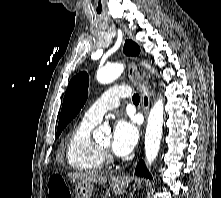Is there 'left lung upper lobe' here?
Masks as SVG:
<instances>
[{"label": "left lung upper lobe", "instance_id": "left-lung-upper-lobe-1", "mask_svg": "<svg viewBox=\"0 0 221 198\" xmlns=\"http://www.w3.org/2000/svg\"><path fill=\"white\" fill-rule=\"evenodd\" d=\"M124 53L128 56L138 55L140 48L132 41L126 40ZM88 97V75L80 72L70 81L65 92L61 114L59 118L57 134L58 137L67 124L78 114Z\"/></svg>", "mask_w": 221, "mask_h": 198}]
</instances>
